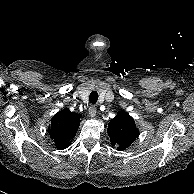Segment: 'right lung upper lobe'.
<instances>
[{
  "mask_svg": "<svg viewBox=\"0 0 194 194\" xmlns=\"http://www.w3.org/2000/svg\"><path fill=\"white\" fill-rule=\"evenodd\" d=\"M80 118L81 115L68 109H63L54 115L48 133L58 149H66L70 146L80 125Z\"/></svg>",
  "mask_w": 194,
  "mask_h": 194,
  "instance_id": "right-lung-upper-lobe-1",
  "label": "right lung upper lobe"
}]
</instances>
